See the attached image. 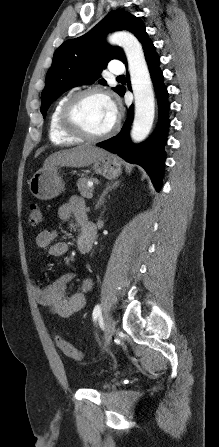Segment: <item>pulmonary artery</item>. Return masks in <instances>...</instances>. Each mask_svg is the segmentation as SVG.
<instances>
[{
  "label": "pulmonary artery",
  "mask_w": 219,
  "mask_h": 447,
  "mask_svg": "<svg viewBox=\"0 0 219 447\" xmlns=\"http://www.w3.org/2000/svg\"><path fill=\"white\" fill-rule=\"evenodd\" d=\"M125 71L123 63L119 60H115L110 65V72L113 75H122Z\"/></svg>",
  "instance_id": "obj_1"
}]
</instances>
